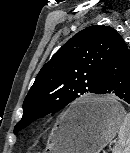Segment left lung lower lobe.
<instances>
[{
    "instance_id": "left-lung-lower-lobe-1",
    "label": "left lung lower lobe",
    "mask_w": 130,
    "mask_h": 153,
    "mask_svg": "<svg viewBox=\"0 0 130 153\" xmlns=\"http://www.w3.org/2000/svg\"><path fill=\"white\" fill-rule=\"evenodd\" d=\"M97 94H114L130 104V51L121 41L106 65ZM89 114V109L75 111L77 117Z\"/></svg>"
}]
</instances>
